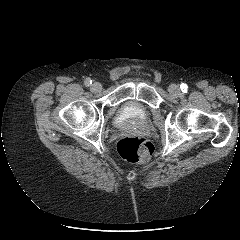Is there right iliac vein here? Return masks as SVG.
<instances>
[{"instance_id":"63e3f726","label":"right iliac vein","mask_w":240,"mask_h":240,"mask_svg":"<svg viewBox=\"0 0 240 240\" xmlns=\"http://www.w3.org/2000/svg\"><path fill=\"white\" fill-rule=\"evenodd\" d=\"M90 89L92 92L98 93L102 90V85L98 82H94L93 84H91Z\"/></svg>"}]
</instances>
